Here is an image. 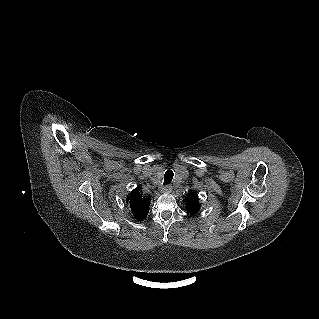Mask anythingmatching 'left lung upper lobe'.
Listing matches in <instances>:
<instances>
[{
    "label": "left lung upper lobe",
    "mask_w": 319,
    "mask_h": 319,
    "mask_svg": "<svg viewBox=\"0 0 319 319\" xmlns=\"http://www.w3.org/2000/svg\"><path fill=\"white\" fill-rule=\"evenodd\" d=\"M186 209L192 215H195L199 211L200 205L198 204L197 195L189 196L187 198V200H186Z\"/></svg>",
    "instance_id": "obj_1"
}]
</instances>
